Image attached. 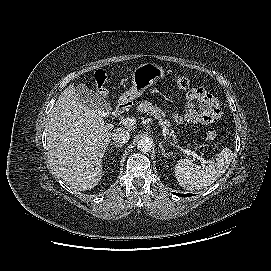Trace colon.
Wrapping results in <instances>:
<instances>
[{"instance_id": "colon-1", "label": "colon", "mask_w": 271, "mask_h": 271, "mask_svg": "<svg viewBox=\"0 0 271 271\" xmlns=\"http://www.w3.org/2000/svg\"><path fill=\"white\" fill-rule=\"evenodd\" d=\"M96 80V88H97V92L102 95L105 96L106 95V89L104 87V77L103 76H99L95 78ZM174 83L178 88L181 89H188L190 87V80L187 77H176L174 79ZM217 136V132L216 131H209L207 133V138L210 140L215 139Z\"/></svg>"}]
</instances>
